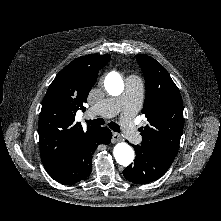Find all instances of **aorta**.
<instances>
[{"label": "aorta", "instance_id": "762f6f07", "mask_svg": "<svg viewBox=\"0 0 221 221\" xmlns=\"http://www.w3.org/2000/svg\"><path fill=\"white\" fill-rule=\"evenodd\" d=\"M104 86L106 91L112 96H118L124 90L122 77L117 72H110L106 76ZM113 154L117 163L122 166L130 165L133 162L135 156L132 147L124 142L116 144Z\"/></svg>", "mask_w": 221, "mask_h": 221}]
</instances>
